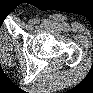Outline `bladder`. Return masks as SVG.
<instances>
[{
  "mask_svg": "<svg viewBox=\"0 0 93 93\" xmlns=\"http://www.w3.org/2000/svg\"><path fill=\"white\" fill-rule=\"evenodd\" d=\"M11 42H12V40H11V38L8 35H6V34L2 35L1 41H0L1 46L6 47L9 44H11Z\"/></svg>",
  "mask_w": 93,
  "mask_h": 93,
  "instance_id": "31cf9c89",
  "label": "bladder"
}]
</instances>
